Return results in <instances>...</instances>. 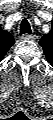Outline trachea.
Instances as JSON below:
<instances>
[{"instance_id": "3493384b", "label": "trachea", "mask_w": 53, "mask_h": 120, "mask_svg": "<svg viewBox=\"0 0 53 120\" xmlns=\"http://www.w3.org/2000/svg\"><path fill=\"white\" fill-rule=\"evenodd\" d=\"M20 34H31V27L26 19H23L20 24Z\"/></svg>"}]
</instances>
